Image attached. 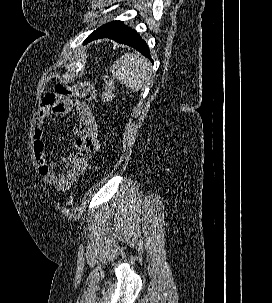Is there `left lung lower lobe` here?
Returning <instances> with one entry per match:
<instances>
[{"instance_id":"1","label":"left lung lower lobe","mask_w":272,"mask_h":303,"mask_svg":"<svg viewBox=\"0 0 272 303\" xmlns=\"http://www.w3.org/2000/svg\"><path fill=\"white\" fill-rule=\"evenodd\" d=\"M100 38H109L118 43L129 45L151 59L146 42L135 30L125 26L121 21H112L99 27L85 40V43Z\"/></svg>"}]
</instances>
